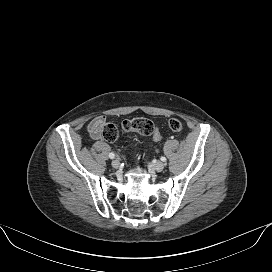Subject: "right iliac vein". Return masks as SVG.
Returning <instances> with one entry per match:
<instances>
[{
    "label": "right iliac vein",
    "mask_w": 272,
    "mask_h": 272,
    "mask_svg": "<svg viewBox=\"0 0 272 272\" xmlns=\"http://www.w3.org/2000/svg\"><path fill=\"white\" fill-rule=\"evenodd\" d=\"M111 164H112V167H113V168H116V169H117V168H119V166H120V161H119L118 159H115V160L112 161Z\"/></svg>",
    "instance_id": "obj_1"
}]
</instances>
